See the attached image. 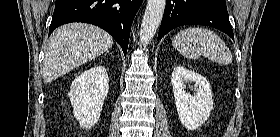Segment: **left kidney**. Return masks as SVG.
Returning <instances> with one entry per match:
<instances>
[{
  "label": "left kidney",
  "mask_w": 280,
  "mask_h": 137,
  "mask_svg": "<svg viewBox=\"0 0 280 137\" xmlns=\"http://www.w3.org/2000/svg\"><path fill=\"white\" fill-rule=\"evenodd\" d=\"M172 86L176 109L182 125L188 130L198 129L213 109L212 91L205 77L184 66L172 72ZM194 83V94L186 92V84Z\"/></svg>",
  "instance_id": "5707ae66"
}]
</instances>
